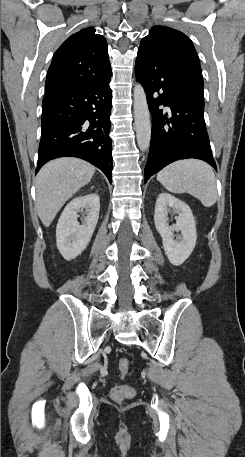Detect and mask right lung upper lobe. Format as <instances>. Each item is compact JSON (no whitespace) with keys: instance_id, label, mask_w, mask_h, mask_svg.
Here are the masks:
<instances>
[{"instance_id":"1","label":"right lung upper lobe","mask_w":245,"mask_h":457,"mask_svg":"<svg viewBox=\"0 0 245 457\" xmlns=\"http://www.w3.org/2000/svg\"><path fill=\"white\" fill-rule=\"evenodd\" d=\"M108 46L94 28L71 35L56 51L48 70L45 95L68 85L111 74Z\"/></svg>"}]
</instances>
